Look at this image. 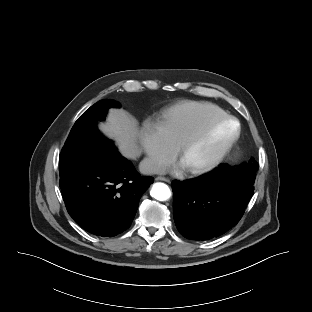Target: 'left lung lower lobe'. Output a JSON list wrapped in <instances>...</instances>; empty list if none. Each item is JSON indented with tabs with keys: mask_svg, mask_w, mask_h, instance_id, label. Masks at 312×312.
<instances>
[{
	"mask_svg": "<svg viewBox=\"0 0 312 312\" xmlns=\"http://www.w3.org/2000/svg\"><path fill=\"white\" fill-rule=\"evenodd\" d=\"M172 189L173 216L180 234L191 240H209L238 223L254 186L223 164L201 178L174 181Z\"/></svg>",
	"mask_w": 312,
	"mask_h": 312,
	"instance_id": "0a47b994",
	"label": "left lung lower lobe"
}]
</instances>
